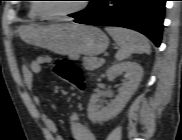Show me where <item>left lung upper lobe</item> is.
<instances>
[{"instance_id":"obj_1","label":"left lung upper lobe","mask_w":182,"mask_h":140,"mask_svg":"<svg viewBox=\"0 0 182 140\" xmlns=\"http://www.w3.org/2000/svg\"><path fill=\"white\" fill-rule=\"evenodd\" d=\"M92 1H93L92 4L89 5V7H88L86 10L81 11V12H79L78 14H81V13H83V12L89 10L90 8H92L99 0H92Z\"/></svg>"}]
</instances>
